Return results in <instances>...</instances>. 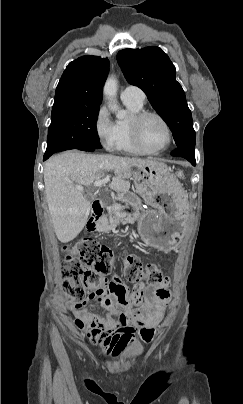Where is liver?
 Instances as JSON below:
<instances>
[{"instance_id":"liver-1","label":"liver","mask_w":243,"mask_h":404,"mask_svg":"<svg viewBox=\"0 0 243 404\" xmlns=\"http://www.w3.org/2000/svg\"><path fill=\"white\" fill-rule=\"evenodd\" d=\"M156 158H119V156H93L82 152H63L45 162V194L54 232L62 244L74 240L82 232L91 206L83 196L84 186H91L104 178L105 172L114 170L109 188L124 194L130 188L132 168L154 164Z\"/></svg>"}]
</instances>
